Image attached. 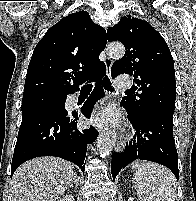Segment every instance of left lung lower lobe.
Listing matches in <instances>:
<instances>
[{
  "label": "left lung lower lobe",
  "instance_id": "1",
  "mask_svg": "<svg viewBox=\"0 0 196 201\" xmlns=\"http://www.w3.org/2000/svg\"><path fill=\"white\" fill-rule=\"evenodd\" d=\"M136 133L121 153H114L111 173L116 178L120 170L135 160H148L168 167L179 178L177 150L172 132L173 114L148 110L140 116L128 114Z\"/></svg>",
  "mask_w": 196,
  "mask_h": 201
}]
</instances>
